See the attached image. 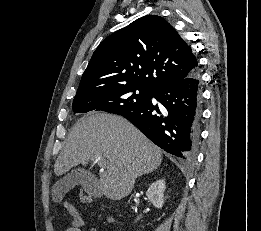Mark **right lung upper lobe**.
Returning <instances> with one entry per match:
<instances>
[{"instance_id":"right-lung-upper-lobe-1","label":"right lung upper lobe","mask_w":261,"mask_h":231,"mask_svg":"<svg viewBox=\"0 0 261 231\" xmlns=\"http://www.w3.org/2000/svg\"><path fill=\"white\" fill-rule=\"evenodd\" d=\"M198 70L192 49L162 17L148 15L107 37L95 50L76 96L122 86L153 91Z\"/></svg>"}]
</instances>
